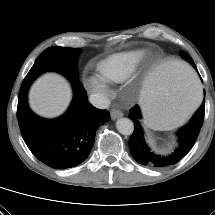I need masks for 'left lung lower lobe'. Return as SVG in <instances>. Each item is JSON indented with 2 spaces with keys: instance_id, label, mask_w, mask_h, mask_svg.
Wrapping results in <instances>:
<instances>
[{
  "instance_id": "1",
  "label": "left lung lower lobe",
  "mask_w": 215,
  "mask_h": 215,
  "mask_svg": "<svg viewBox=\"0 0 215 215\" xmlns=\"http://www.w3.org/2000/svg\"><path fill=\"white\" fill-rule=\"evenodd\" d=\"M205 102L194 113L191 120L178 131V144L169 154L156 153L145 142L144 133L140 124L141 112L138 105L130 110V119L134 122V132L129 140V148L132 157L140 164L163 168L176 164L193 147L200 132L205 113Z\"/></svg>"
}]
</instances>
